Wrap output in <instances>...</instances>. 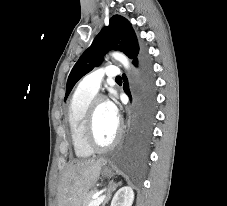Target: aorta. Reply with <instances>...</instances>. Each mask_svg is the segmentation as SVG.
I'll return each mask as SVG.
<instances>
[{
	"instance_id": "1",
	"label": "aorta",
	"mask_w": 227,
	"mask_h": 206,
	"mask_svg": "<svg viewBox=\"0 0 227 206\" xmlns=\"http://www.w3.org/2000/svg\"><path fill=\"white\" fill-rule=\"evenodd\" d=\"M112 57L118 60L126 69L129 68V60L124 54L119 52H114L112 53Z\"/></svg>"
}]
</instances>
